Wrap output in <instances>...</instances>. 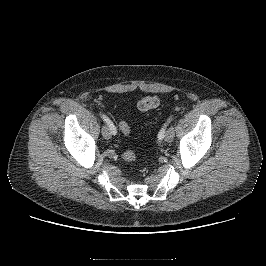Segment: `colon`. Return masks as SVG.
<instances>
[{
  "label": "colon",
  "instance_id": "colon-1",
  "mask_svg": "<svg viewBox=\"0 0 266 266\" xmlns=\"http://www.w3.org/2000/svg\"><path fill=\"white\" fill-rule=\"evenodd\" d=\"M137 106L140 111H149L159 106V99L155 96H145L139 100ZM119 129L125 135L131 131L128 123L124 121L119 123ZM122 157L125 161L131 162L136 159V154L131 150H127L123 153Z\"/></svg>",
  "mask_w": 266,
  "mask_h": 266
}]
</instances>
